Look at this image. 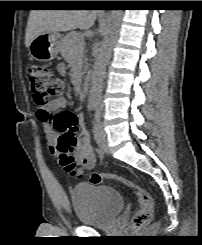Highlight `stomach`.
Listing matches in <instances>:
<instances>
[{"label": "stomach", "instance_id": "1", "mask_svg": "<svg viewBox=\"0 0 202 245\" xmlns=\"http://www.w3.org/2000/svg\"><path fill=\"white\" fill-rule=\"evenodd\" d=\"M62 40V36L58 32L42 33L30 43L29 53L38 61H50L54 59L60 51Z\"/></svg>", "mask_w": 202, "mask_h": 245}]
</instances>
